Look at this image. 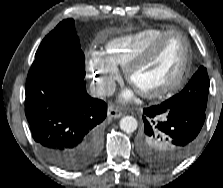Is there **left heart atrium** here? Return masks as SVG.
Segmentation results:
<instances>
[{
    "mask_svg": "<svg viewBox=\"0 0 223 188\" xmlns=\"http://www.w3.org/2000/svg\"><path fill=\"white\" fill-rule=\"evenodd\" d=\"M131 98H132V92H130V91L123 93L121 96V100H123V101H128Z\"/></svg>",
    "mask_w": 223,
    "mask_h": 188,
    "instance_id": "left-heart-atrium-1",
    "label": "left heart atrium"
}]
</instances>
